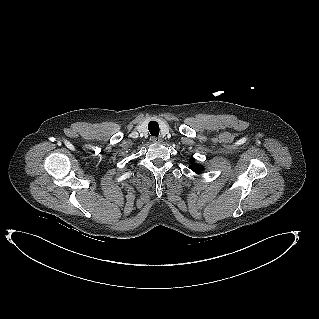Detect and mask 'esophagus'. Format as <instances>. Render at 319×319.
Masks as SVG:
<instances>
[{
	"instance_id": "34e87169",
	"label": "esophagus",
	"mask_w": 319,
	"mask_h": 319,
	"mask_svg": "<svg viewBox=\"0 0 319 319\" xmlns=\"http://www.w3.org/2000/svg\"><path fill=\"white\" fill-rule=\"evenodd\" d=\"M152 141L154 143H160V142H162V139L160 137H152Z\"/></svg>"
}]
</instances>
